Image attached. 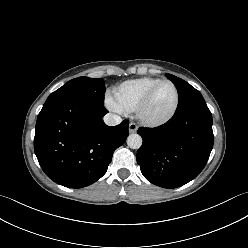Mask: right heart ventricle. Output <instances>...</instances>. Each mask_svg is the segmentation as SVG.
<instances>
[{"label": "right heart ventricle", "instance_id": "obj_1", "mask_svg": "<svg viewBox=\"0 0 248 248\" xmlns=\"http://www.w3.org/2000/svg\"><path fill=\"white\" fill-rule=\"evenodd\" d=\"M160 79L153 77H141L125 81L111 92V99L123 112L135 111L143 95Z\"/></svg>", "mask_w": 248, "mask_h": 248}]
</instances>
